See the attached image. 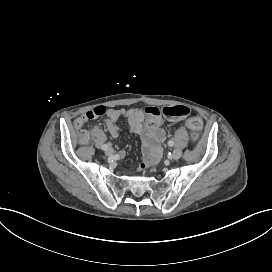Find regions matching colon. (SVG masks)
<instances>
[{"label":"colon","mask_w":272,"mask_h":272,"mask_svg":"<svg viewBox=\"0 0 272 272\" xmlns=\"http://www.w3.org/2000/svg\"><path fill=\"white\" fill-rule=\"evenodd\" d=\"M107 107L104 105H98L91 109H89L86 114L85 118L88 120L96 119L102 117L106 114ZM146 114L149 117H158V116H165L166 118L171 119H184L189 114V108L186 105L178 104V105H166V106H150L146 110ZM82 124L81 120L76 121V128H79L80 132V143H86L89 136L86 131H82ZM188 127L193 132V139L196 140L198 136V131L201 128V120L198 117H192L188 121Z\"/></svg>","instance_id":"obj_1"}]
</instances>
